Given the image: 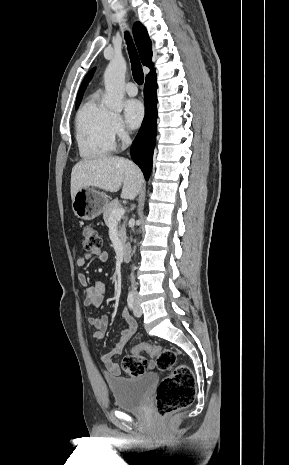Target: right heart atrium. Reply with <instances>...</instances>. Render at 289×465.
Returning <instances> with one entry per match:
<instances>
[{"label":"right heart atrium","mask_w":289,"mask_h":465,"mask_svg":"<svg viewBox=\"0 0 289 465\" xmlns=\"http://www.w3.org/2000/svg\"><path fill=\"white\" fill-rule=\"evenodd\" d=\"M110 126H111V132L114 136V138H117L118 140L124 142L128 140L129 138V132L121 119V117L117 114H112L111 116V121H110Z\"/></svg>","instance_id":"right-heart-atrium-1"}]
</instances>
